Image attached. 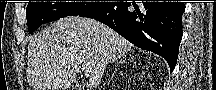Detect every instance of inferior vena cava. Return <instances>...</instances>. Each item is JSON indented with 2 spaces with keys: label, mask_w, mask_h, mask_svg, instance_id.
Masks as SVG:
<instances>
[{
  "label": "inferior vena cava",
  "mask_w": 216,
  "mask_h": 90,
  "mask_svg": "<svg viewBox=\"0 0 216 90\" xmlns=\"http://www.w3.org/2000/svg\"><path fill=\"white\" fill-rule=\"evenodd\" d=\"M105 66H106V64H103V66H102V70H104Z\"/></svg>",
  "instance_id": "inferior-vena-cava-1"
}]
</instances>
